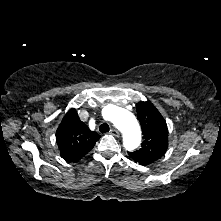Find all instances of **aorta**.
I'll return each instance as SVG.
<instances>
[{
  "instance_id": "1",
  "label": "aorta",
  "mask_w": 221,
  "mask_h": 221,
  "mask_svg": "<svg viewBox=\"0 0 221 221\" xmlns=\"http://www.w3.org/2000/svg\"><path fill=\"white\" fill-rule=\"evenodd\" d=\"M110 121L123 133V144L127 150H134L141 142V131L135 116L126 109L113 107Z\"/></svg>"
}]
</instances>
